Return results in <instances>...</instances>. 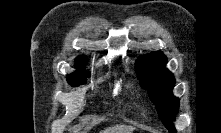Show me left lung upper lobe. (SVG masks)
<instances>
[{
  "label": "left lung upper lobe",
  "mask_w": 221,
  "mask_h": 133,
  "mask_svg": "<svg viewBox=\"0 0 221 133\" xmlns=\"http://www.w3.org/2000/svg\"><path fill=\"white\" fill-rule=\"evenodd\" d=\"M167 58L160 51L144 55L136 63L140 85L148 90V95L166 128L175 132L172 125L178 108L179 99L172 94L175 84L173 74L165 68Z\"/></svg>",
  "instance_id": "5c2ea615"
}]
</instances>
